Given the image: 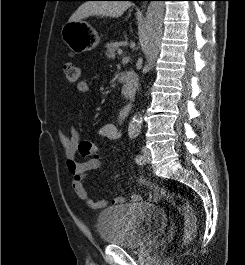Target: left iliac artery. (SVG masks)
Wrapping results in <instances>:
<instances>
[{
    "label": "left iliac artery",
    "instance_id": "44dca946",
    "mask_svg": "<svg viewBox=\"0 0 245 265\" xmlns=\"http://www.w3.org/2000/svg\"><path fill=\"white\" fill-rule=\"evenodd\" d=\"M137 136H138L137 133L130 134V137L131 138H136ZM135 160H136V163H138V164L143 163V157H142V155H137L136 158H135Z\"/></svg>",
    "mask_w": 245,
    "mask_h": 265
}]
</instances>
